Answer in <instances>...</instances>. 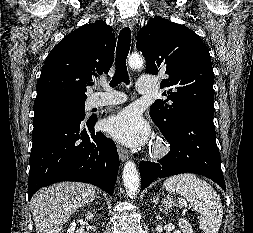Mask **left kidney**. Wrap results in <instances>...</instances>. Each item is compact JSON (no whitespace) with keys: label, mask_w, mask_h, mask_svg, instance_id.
<instances>
[{"label":"left kidney","mask_w":253,"mask_h":233,"mask_svg":"<svg viewBox=\"0 0 253 233\" xmlns=\"http://www.w3.org/2000/svg\"><path fill=\"white\" fill-rule=\"evenodd\" d=\"M179 228L181 229L182 233H193V229L191 224L185 220L184 218H180L178 220Z\"/></svg>","instance_id":"obj_1"}]
</instances>
